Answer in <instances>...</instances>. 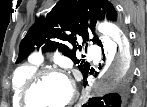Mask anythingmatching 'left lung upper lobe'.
<instances>
[{"label":"left lung upper lobe","mask_w":147,"mask_h":107,"mask_svg":"<svg viewBox=\"0 0 147 107\" xmlns=\"http://www.w3.org/2000/svg\"><path fill=\"white\" fill-rule=\"evenodd\" d=\"M101 20H118L117 11L108 0H60L46 17L36 18L20 43L16 64L33 51H59L79 64V70L86 75L90 64L75 56L76 50L81 49L78 40L92 41L102 47L96 35L90 39L97 21Z\"/></svg>","instance_id":"1"}]
</instances>
